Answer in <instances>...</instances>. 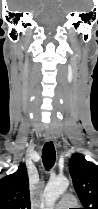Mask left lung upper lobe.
I'll list each match as a JSON object with an SVG mask.
<instances>
[{"instance_id":"obj_1","label":"left lung upper lobe","mask_w":98,"mask_h":209,"mask_svg":"<svg viewBox=\"0 0 98 209\" xmlns=\"http://www.w3.org/2000/svg\"><path fill=\"white\" fill-rule=\"evenodd\" d=\"M73 186L83 209H98V166L82 155H72L69 163Z\"/></svg>"}]
</instances>
